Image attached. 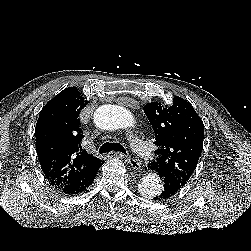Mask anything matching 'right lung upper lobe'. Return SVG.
Here are the masks:
<instances>
[{"label":"right lung upper lobe","instance_id":"cb5924a9","mask_svg":"<svg viewBox=\"0 0 251 251\" xmlns=\"http://www.w3.org/2000/svg\"><path fill=\"white\" fill-rule=\"evenodd\" d=\"M87 103L76 87H69L50 100L39 114L36 150L42 171L53 186L81 181L103 163L81 146L84 135L79 114Z\"/></svg>","mask_w":251,"mask_h":251}]
</instances>
